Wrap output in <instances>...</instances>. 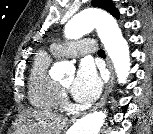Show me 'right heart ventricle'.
I'll use <instances>...</instances> for the list:
<instances>
[{"label": "right heart ventricle", "instance_id": "1", "mask_svg": "<svg viewBox=\"0 0 153 134\" xmlns=\"http://www.w3.org/2000/svg\"><path fill=\"white\" fill-rule=\"evenodd\" d=\"M55 55L40 51L34 58L29 75V99L37 107L56 110L62 106L63 92L48 73Z\"/></svg>", "mask_w": 153, "mask_h": 134}]
</instances>
